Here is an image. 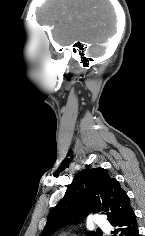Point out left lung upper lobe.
<instances>
[{"instance_id":"left-lung-upper-lobe-1","label":"left lung upper lobe","mask_w":145,"mask_h":236,"mask_svg":"<svg viewBox=\"0 0 145 236\" xmlns=\"http://www.w3.org/2000/svg\"><path fill=\"white\" fill-rule=\"evenodd\" d=\"M131 208L128 195L106 169H84L76 174L64 198L48 215L41 236H51L69 221L79 222L91 211L106 214L113 223ZM86 235L97 236V233L90 231Z\"/></svg>"}]
</instances>
